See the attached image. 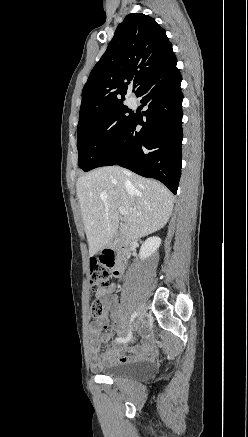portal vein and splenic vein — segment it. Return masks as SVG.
Masks as SVG:
<instances>
[{"instance_id":"18ae733b","label":"portal vein and splenic vein","mask_w":248,"mask_h":437,"mask_svg":"<svg viewBox=\"0 0 248 437\" xmlns=\"http://www.w3.org/2000/svg\"><path fill=\"white\" fill-rule=\"evenodd\" d=\"M119 213L121 214V215H123V216H127L128 215V212L124 209V208H119Z\"/></svg>"}]
</instances>
